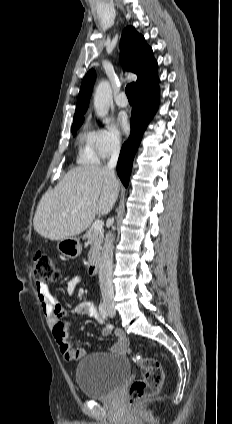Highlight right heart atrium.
Segmentation results:
<instances>
[{
	"label": "right heart atrium",
	"instance_id": "right-heart-atrium-1",
	"mask_svg": "<svg viewBox=\"0 0 232 424\" xmlns=\"http://www.w3.org/2000/svg\"><path fill=\"white\" fill-rule=\"evenodd\" d=\"M121 136L114 125H105L95 131V148L101 158H108L121 148Z\"/></svg>",
	"mask_w": 232,
	"mask_h": 424
}]
</instances>
